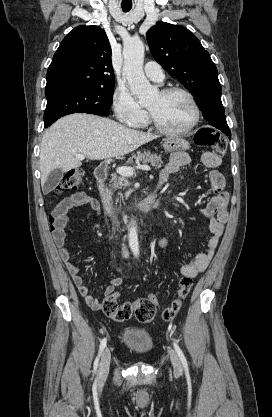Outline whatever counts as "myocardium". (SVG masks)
Returning <instances> with one entry per match:
<instances>
[{
  "label": "myocardium",
  "mask_w": 272,
  "mask_h": 417,
  "mask_svg": "<svg viewBox=\"0 0 272 417\" xmlns=\"http://www.w3.org/2000/svg\"><path fill=\"white\" fill-rule=\"evenodd\" d=\"M160 94L164 97L173 95V94H182L185 97H187V99L189 100V102L192 105L193 108V112H194V116L193 119L191 121V123L183 128V129H179V130H173V129H169L166 128L164 126H162L157 119L155 118V116L153 115V113L148 110L147 116H148V122L159 132L166 134V135H171V136H182V135H186L189 132H191L199 123L200 121V116H201V111H200V107L199 104L197 102V100L195 99L194 95L188 91L185 88L182 87H169V88H165L163 89Z\"/></svg>",
  "instance_id": "obj_1"
}]
</instances>
